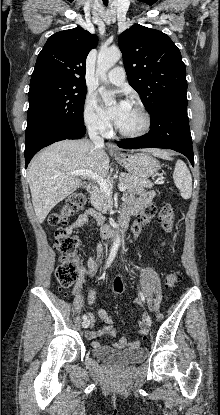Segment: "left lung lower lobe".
<instances>
[{"label": "left lung lower lobe", "instance_id": "0a47b994", "mask_svg": "<svg viewBox=\"0 0 220 415\" xmlns=\"http://www.w3.org/2000/svg\"><path fill=\"white\" fill-rule=\"evenodd\" d=\"M117 144L126 149H172L184 154L194 166L187 97L181 96L162 102L150 113V131L146 135L123 139Z\"/></svg>", "mask_w": 220, "mask_h": 415}]
</instances>
